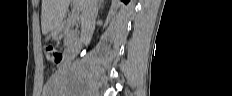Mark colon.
Masks as SVG:
<instances>
[{
    "label": "colon",
    "instance_id": "colon-1",
    "mask_svg": "<svg viewBox=\"0 0 232 96\" xmlns=\"http://www.w3.org/2000/svg\"><path fill=\"white\" fill-rule=\"evenodd\" d=\"M46 54H47L48 59L51 62H53L55 64L61 63L62 58H63L62 53H61V51H59L55 47H53V46L47 47Z\"/></svg>",
    "mask_w": 232,
    "mask_h": 96
}]
</instances>
